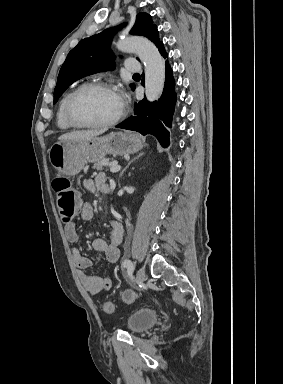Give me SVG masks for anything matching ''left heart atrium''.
<instances>
[{"label":"left heart atrium","instance_id":"obj_1","mask_svg":"<svg viewBox=\"0 0 283 384\" xmlns=\"http://www.w3.org/2000/svg\"><path fill=\"white\" fill-rule=\"evenodd\" d=\"M114 94H115V97H116V99H117L119 105L122 106L123 103H124V97H123V95L120 94V93H114Z\"/></svg>","mask_w":283,"mask_h":384}]
</instances>
